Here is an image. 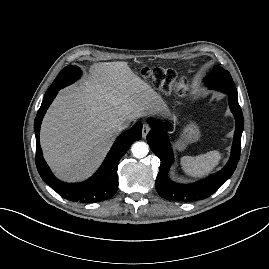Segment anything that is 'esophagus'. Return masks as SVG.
<instances>
[{
	"instance_id": "34e87169",
	"label": "esophagus",
	"mask_w": 269,
	"mask_h": 269,
	"mask_svg": "<svg viewBox=\"0 0 269 269\" xmlns=\"http://www.w3.org/2000/svg\"><path fill=\"white\" fill-rule=\"evenodd\" d=\"M150 130H151V127L148 124H144L143 129H142V137L146 138V136L150 132Z\"/></svg>"
}]
</instances>
